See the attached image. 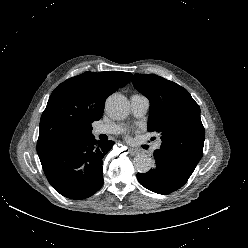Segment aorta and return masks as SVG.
Segmentation results:
<instances>
[{
  "mask_svg": "<svg viewBox=\"0 0 248 248\" xmlns=\"http://www.w3.org/2000/svg\"><path fill=\"white\" fill-rule=\"evenodd\" d=\"M108 115L115 120H121L129 115L130 104L122 95L110 96L105 104ZM134 168L139 173H146L152 167V159L147 154H138L133 160Z\"/></svg>",
  "mask_w": 248,
  "mask_h": 248,
  "instance_id": "aorta-1",
  "label": "aorta"
}]
</instances>
